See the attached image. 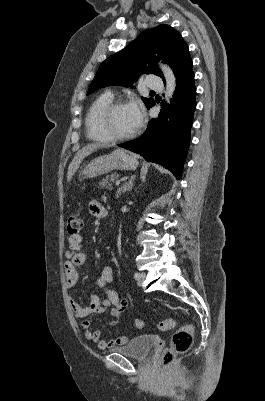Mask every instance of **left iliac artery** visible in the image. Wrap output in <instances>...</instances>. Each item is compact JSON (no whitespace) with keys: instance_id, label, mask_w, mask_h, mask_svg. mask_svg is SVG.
Instances as JSON below:
<instances>
[{"instance_id":"44dca946","label":"left iliac artery","mask_w":265,"mask_h":401,"mask_svg":"<svg viewBox=\"0 0 265 401\" xmlns=\"http://www.w3.org/2000/svg\"><path fill=\"white\" fill-rule=\"evenodd\" d=\"M134 278H137V273L136 272L134 273Z\"/></svg>"}]
</instances>
